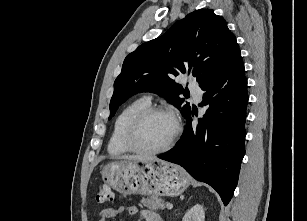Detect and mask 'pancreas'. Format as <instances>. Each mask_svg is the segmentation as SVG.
I'll return each instance as SVG.
<instances>
[{"instance_id": "cf45deb5", "label": "pancreas", "mask_w": 307, "mask_h": 221, "mask_svg": "<svg viewBox=\"0 0 307 221\" xmlns=\"http://www.w3.org/2000/svg\"><path fill=\"white\" fill-rule=\"evenodd\" d=\"M142 204L150 209V210H161L165 208V202L161 198H158L157 196H150L148 198H142Z\"/></svg>"}]
</instances>
